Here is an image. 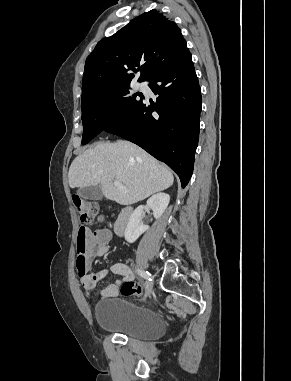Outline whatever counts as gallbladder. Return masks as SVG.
Wrapping results in <instances>:
<instances>
[{"label": "gallbladder", "instance_id": "obj_1", "mask_svg": "<svg viewBox=\"0 0 291 381\" xmlns=\"http://www.w3.org/2000/svg\"><path fill=\"white\" fill-rule=\"evenodd\" d=\"M77 194L80 197L89 200H100L103 197L100 185L79 188Z\"/></svg>", "mask_w": 291, "mask_h": 381}]
</instances>
